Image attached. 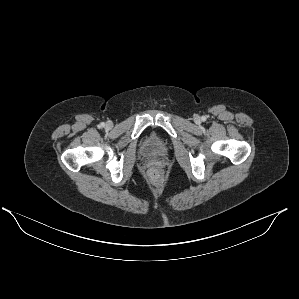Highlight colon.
<instances>
[{
  "instance_id": "obj_1",
  "label": "colon",
  "mask_w": 299,
  "mask_h": 299,
  "mask_svg": "<svg viewBox=\"0 0 299 299\" xmlns=\"http://www.w3.org/2000/svg\"><path fill=\"white\" fill-rule=\"evenodd\" d=\"M149 178L151 179V181L153 182H159L162 178V173L159 169L157 168H152L149 171Z\"/></svg>"
}]
</instances>
